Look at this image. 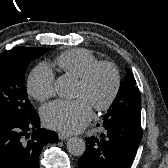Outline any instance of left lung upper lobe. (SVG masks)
Masks as SVG:
<instances>
[{
	"instance_id": "left-lung-upper-lobe-1",
	"label": "left lung upper lobe",
	"mask_w": 168,
	"mask_h": 168,
	"mask_svg": "<svg viewBox=\"0 0 168 168\" xmlns=\"http://www.w3.org/2000/svg\"><path fill=\"white\" fill-rule=\"evenodd\" d=\"M140 108V93L136 86V80L134 79L131 70L126 67L125 79L121 82L119 92L106 115L125 112H140Z\"/></svg>"
}]
</instances>
